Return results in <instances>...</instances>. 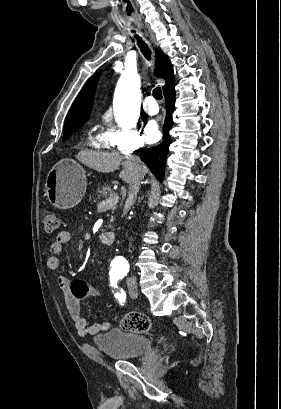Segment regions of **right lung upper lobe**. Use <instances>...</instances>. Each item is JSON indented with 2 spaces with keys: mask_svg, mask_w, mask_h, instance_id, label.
<instances>
[{
  "mask_svg": "<svg viewBox=\"0 0 281 409\" xmlns=\"http://www.w3.org/2000/svg\"><path fill=\"white\" fill-rule=\"evenodd\" d=\"M155 57V75L165 80V85L163 86V94L165 95L174 87L173 68L167 55H165L162 51H157ZM99 77L100 73H96L87 81L70 108L65 119L64 127L83 125L87 121L90 115L93 97Z\"/></svg>",
  "mask_w": 281,
  "mask_h": 409,
  "instance_id": "cb5924a9",
  "label": "right lung upper lobe"
}]
</instances>
